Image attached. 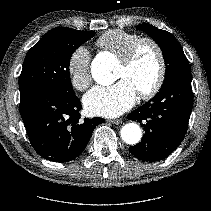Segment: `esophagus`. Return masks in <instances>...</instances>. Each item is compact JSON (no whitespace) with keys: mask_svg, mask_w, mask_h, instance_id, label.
I'll list each match as a JSON object with an SVG mask.
<instances>
[{"mask_svg":"<svg viewBox=\"0 0 211 211\" xmlns=\"http://www.w3.org/2000/svg\"><path fill=\"white\" fill-rule=\"evenodd\" d=\"M110 122H111L112 124L118 125V124H121V123H122V120H121V119H113V120H110Z\"/></svg>","mask_w":211,"mask_h":211,"instance_id":"obj_1","label":"esophagus"}]
</instances>
